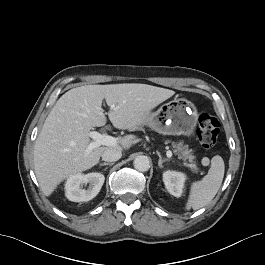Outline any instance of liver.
Masks as SVG:
<instances>
[{
  "label": "liver",
  "instance_id": "liver-1",
  "mask_svg": "<svg viewBox=\"0 0 265 265\" xmlns=\"http://www.w3.org/2000/svg\"><path fill=\"white\" fill-rule=\"evenodd\" d=\"M174 94L173 90L137 83L86 85L63 94L48 114L34 146V170L44 195L50 196L66 178L92 168L105 150H127L134 143L135 136L126 135L119 140L120 145L99 146L86 154L90 130L107 121L101 107L103 99L110 106L112 125L134 131L153 108Z\"/></svg>",
  "mask_w": 265,
  "mask_h": 265
}]
</instances>
